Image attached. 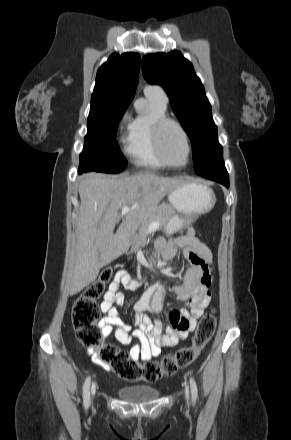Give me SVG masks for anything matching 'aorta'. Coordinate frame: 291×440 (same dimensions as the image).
Segmentation results:
<instances>
[{
	"instance_id": "obj_1",
	"label": "aorta",
	"mask_w": 291,
	"mask_h": 440,
	"mask_svg": "<svg viewBox=\"0 0 291 440\" xmlns=\"http://www.w3.org/2000/svg\"><path fill=\"white\" fill-rule=\"evenodd\" d=\"M139 102L140 104L136 105V109L142 111L145 108V103L142 100H140ZM163 292H164L163 288L161 286H158L153 296V300H161Z\"/></svg>"
}]
</instances>
